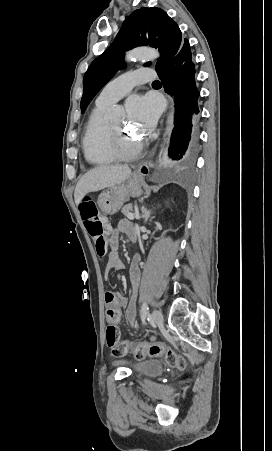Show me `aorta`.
Masks as SVG:
<instances>
[{"label": "aorta", "instance_id": "obj_1", "mask_svg": "<svg viewBox=\"0 0 272 451\" xmlns=\"http://www.w3.org/2000/svg\"><path fill=\"white\" fill-rule=\"evenodd\" d=\"M156 58H159V52H157V50H154V48H134V50H131V52H126L125 56L126 62H135V60H156ZM115 116H119V114H109V116H105V120H108V122H113ZM173 128L174 108L172 106V110L167 116L165 132V136H167L166 140H169Z\"/></svg>", "mask_w": 272, "mask_h": 451}]
</instances>
